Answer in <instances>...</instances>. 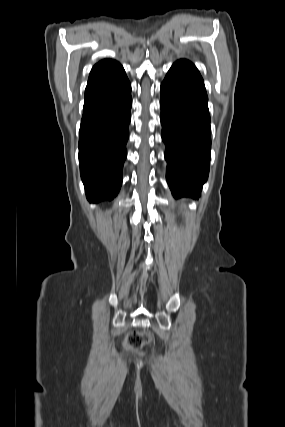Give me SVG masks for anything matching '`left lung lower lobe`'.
Returning <instances> with one entry per match:
<instances>
[{
    "instance_id": "obj_1",
    "label": "left lung lower lobe",
    "mask_w": 285,
    "mask_h": 427,
    "mask_svg": "<svg viewBox=\"0 0 285 427\" xmlns=\"http://www.w3.org/2000/svg\"><path fill=\"white\" fill-rule=\"evenodd\" d=\"M203 79L188 60L173 64L161 84L166 179L174 197H199L209 173L211 128Z\"/></svg>"
}]
</instances>
